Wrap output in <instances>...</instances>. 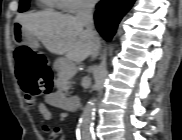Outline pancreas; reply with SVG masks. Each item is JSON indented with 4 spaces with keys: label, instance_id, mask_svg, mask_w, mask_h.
Returning a JSON list of instances; mask_svg holds the SVG:
<instances>
[{
    "label": "pancreas",
    "instance_id": "obj_1",
    "mask_svg": "<svg viewBox=\"0 0 182 140\" xmlns=\"http://www.w3.org/2000/svg\"><path fill=\"white\" fill-rule=\"evenodd\" d=\"M54 69L57 71L58 79H63V85L60 87L59 94L64 96L70 87V80L76 74L75 65L65 58H60L54 62Z\"/></svg>",
    "mask_w": 182,
    "mask_h": 140
}]
</instances>
